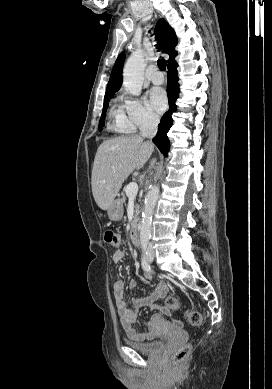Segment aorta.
Here are the masks:
<instances>
[{
  "mask_svg": "<svg viewBox=\"0 0 272 389\" xmlns=\"http://www.w3.org/2000/svg\"><path fill=\"white\" fill-rule=\"evenodd\" d=\"M146 63L143 50L137 49L128 58L123 70V84L125 90L139 96L144 81V69ZM159 186L153 185L146 195L140 224V240L148 242L151 237L152 214L158 200Z\"/></svg>",
  "mask_w": 272,
  "mask_h": 389,
  "instance_id": "762f6f07",
  "label": "aorta"
}]
</instances>
